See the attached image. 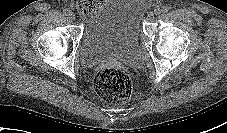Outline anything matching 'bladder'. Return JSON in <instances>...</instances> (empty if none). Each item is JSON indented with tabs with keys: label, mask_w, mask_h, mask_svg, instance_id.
Returning <instances> with one entry per match:
<instances>
[{
	"label": "bladder",
	"mask_w": 227,
	"mask_h": 133,
	"mask_svg": "<svg viewBox=\"0 0 227 133\" xmlns=\"http://www.w3.org/2000/svg\"><path fill=\"white\" fill-rule=\"evenodd\" d=\"M146 0H104L85 21L78 47L82 65L116 60L135 66L141 59Z\"/></svg>",
	"instance_id": "31cf9c89"
}]
</instances>
